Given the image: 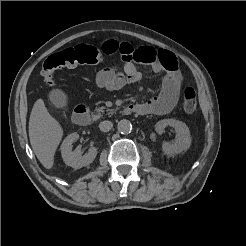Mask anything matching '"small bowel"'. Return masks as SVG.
Segmentation results:
<instances>
[{"label":"small bowel","instance_id":"small-bowel-1","mask_svg":"<svg viewBox=\"0 0 246 246\" xmlns=\"http://www.w3.org/2000/svg\"><path fill=\"white\" fill-rule=\"evenodd\" d=\"M100 50L104 55H119L123 61V70L108 67L99 71L96 76L98 87L113 91L139 82L142 73L137 69L135 62L148 64L154 73H164V77L160 93L143 103L136 104L137 113L165 115L174 109L182 86V75L177 58L172 52L152 47L135 49L127 42L114 39L105 41Z\"/></svg>","mask_w":246,"mask_h":246}]
</instances>
